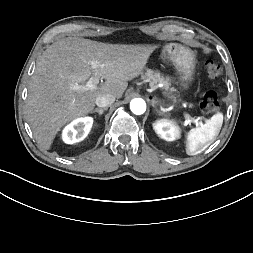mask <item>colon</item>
<instances>
[{
  "label": "colon",
  "mask_w": 253,
  "mask_h": 253,
  "mask_svg": "<svg viewBox=\"0 0 253 253\" xmlns=\"http://www.w3.org/2000/svg\"><path fill=\"white\" fill-rule=\"evenodd\" d=\"M205 70L207 76L211 79L218 78L222 73L221 65L213 60H208L205 63ZM200 108L205 113L215 112L218 108V98L216 92L211 90L207 91L200 101Z\"/></svg>",
  "instance_id": "obj_1"
}]
</instances>
